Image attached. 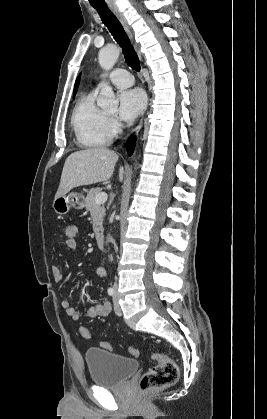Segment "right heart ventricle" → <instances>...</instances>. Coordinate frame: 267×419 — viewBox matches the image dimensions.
Instances as JSON below:
<instances>
[{"mask_svg": "<svg viewBox=\"0 0 267 419\" xmlns=\"http://www.w3.org/2000/svg\"><path fill=\"white\" fill-rule=\"evenodd\" d=\"M77 142L86 148H99L109 144L112 134L108 116L95 102V92L84 93L77 100L71 116Z\"/></svg>", "mask_w": 267, "mask_h": 419, "instance_id": "obj_1", "label": "right heart ventricle"}]
</instances>
